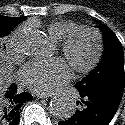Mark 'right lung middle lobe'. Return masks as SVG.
<instances>
[{
	"label": "right lung middle lobe",
	"instance_id": "obj_1",
	"mask_svg": "<svg viewBox=\"0 0 125 125\" xmlns=\"http://www.w3.org/2000/svg\"><path fill=\"white\" fill-rule=\"evenodd\" d=\"M26 17H6L0 15V36L9 34L19 23L24 21ZM7 103V100L0 97V106Z\"/></svg>",
	"mask_w": 125,
	"mask_h": 125
}]
</instances>
